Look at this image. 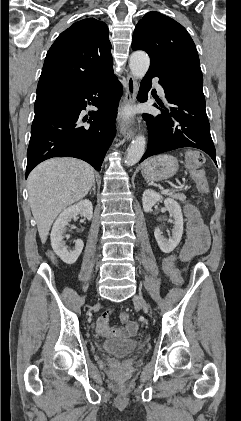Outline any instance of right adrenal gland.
<instances>
[{"label": "right adrenal gland", "instance_id": "right-adrenal-gland-1", "mask_svg": "<svg viewBox=\"0 0 241 421\" xmlns=\"http://www.w3.org/2000/svg\"><path fill=\"white\" fill-rule=\"evenodd\" d=\"M93 191V194H96V186H95V182L93 183V187L92 189L89 191V194H91V192Z\"/></svg>", "mask_w": 241, "mask_h": 421}]
</instances>
